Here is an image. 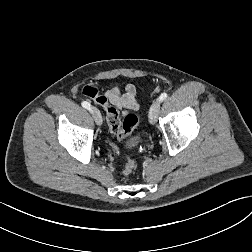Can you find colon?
I'll return each mask as SVG.
<instances>
[{
    "label": "colon",
    "mask_w": 252,
    "mask_h": 252,
    "mask_svg": "<svg viewBox=\"0 0 252 252\" xmlns=\"http://www.w3.org/2000/svg\"><path fill=\"white\" fill-rule=\"evenodd\" d=\"M82 93L84 96L92 99L105 109L110 132L116 139H124L138 127L139 120L136 115L128 114L122 121L118 108L110 105L102 95H99L98 89L96 87L87 85L83 88ZM135 168V161L131 157L127 156L123 167V174L125 176H129L133 173Z\"/></svg>",
    "instance_id": "5ec220e1"
}]
</instances>
